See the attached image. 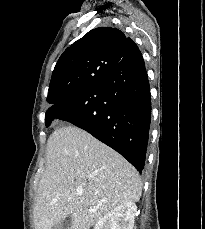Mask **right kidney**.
<instances>
[{
    "mask_svg": "<svg viewBox=\"0 0 205 229\" xmlns=\"http://www.w3.org/2000/svg\"><path fill=\"white\" fill-rule=\"evenodd\" d=\"M136 212L135 203H122L98 220L94 229H133Z\"/></svg>",
    "mask_w": 205,
    "mask_h": 229,
    "instance_id": "1",
    "label": "right kidney"
}]
</instances>
